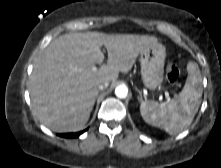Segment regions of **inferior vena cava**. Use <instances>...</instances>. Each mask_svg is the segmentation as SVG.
<instances>
[{
  "label": "inferior vena cava",
  "instance_id": "1",
  "mask_svg": "<svg viewBox=\"0 0 221 168\" xmlns=\"http://www.w3.org/2000/svg\"><path fill=\"white\" fill-rule=\"evenodd\" d=\"M108 85H109V83L107 81H105V82L99 84L98 89L103 90V89L107 88Z\"/></svg>",
  "mask_w": 221,
  "mask_h": 168
}]
</instances>
